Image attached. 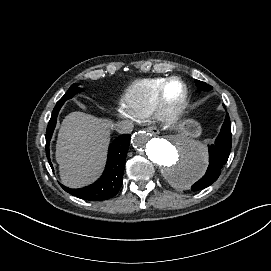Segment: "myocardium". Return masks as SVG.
Returning a JSON list of instances; mask_svg holds the SVG:
<instances>
[{"mask_svg":"<svg viewBox=\"0 0 271 271\" xmlns=\"http://www.w3.org/2000/svg\"><path fill=\"white\" fill-rule=\"evenodd\" d=\"M178 81L184 87L183 94L178 98L170 97L168 90L170 85ZM190 99V89L187 82L179 76H171L163 83L158 97L157 114L162 121H175L178 120Z\"/></svg>","mask_w":271,"mask_h":271,"instance_id":"myocardium-1","label":"myocardium"}]
</instances>
